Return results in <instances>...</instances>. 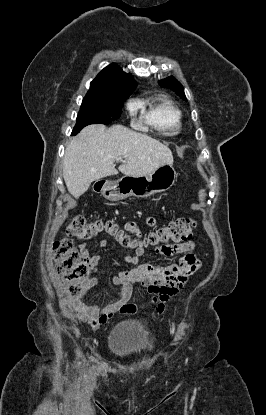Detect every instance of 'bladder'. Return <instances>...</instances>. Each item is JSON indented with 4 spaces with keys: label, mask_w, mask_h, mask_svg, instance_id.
Instances as JSON below:
<instances>
[{
    "label": "bladder",
    "mask_w": 266,
    "mask_h": 415,
    "mask_svg": "<svg viewBox=\"0 0 266 415\" xmlns=\"http://www.w3.org/2000/svg\"><path fill=\"white\" fill-rule=\"evenodd\" d=\"M108 348L113 355L126 359L152 352L155 343L143 321L127 319L117 323L110 331Z\"/></svg>",
    "instance_id": "31cf9c89"
}]
</instances>
